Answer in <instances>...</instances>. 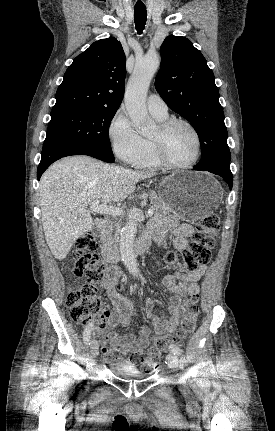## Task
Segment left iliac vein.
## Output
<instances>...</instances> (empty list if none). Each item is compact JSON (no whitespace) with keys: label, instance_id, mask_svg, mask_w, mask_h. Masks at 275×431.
Here are the masks:
<instances>
[{"label":"left iliac vein","instance_id":"obj_1","mask_svg":"<svg viewBox=\"0 0 275 431\" xmlns=\"http://www.w3.org/2000/svg\"><path fill=\"white\" fill-rule=\"evenodd\" d=\"M166 360H167L168 366L171 369L177 370V368H178V359H177V357L173 353L168 354L166 356Z\"/></svg>","mask_w":275,"mask_h":431}]
</instances>
